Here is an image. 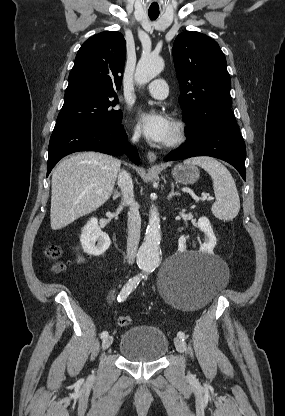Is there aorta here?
I'll list each match as a JSON object with an SVG mask.
<instances>
[{
	"label": "aorta",
	"mask_w": 285,
	"mask_h": 416,
	"mask_svg": "<svg viewBox=\"0 0 285 416\" xmlns=\"http://www.w3.org/2000/svg\"><path fill=\"white\" fill-rule=\"evenodd\" d=\"M164 61L159 56L144 55L139 60L135 81L143 85L151 81L161 73ZM161 240L160 218L157 208L152 205L149 213V223L146 229L144 241L137 254V265L144 273L153 272L160 263L159 244Z\"/></svg>",
	"instance_id": "aorta-1"
}]
</instances>
